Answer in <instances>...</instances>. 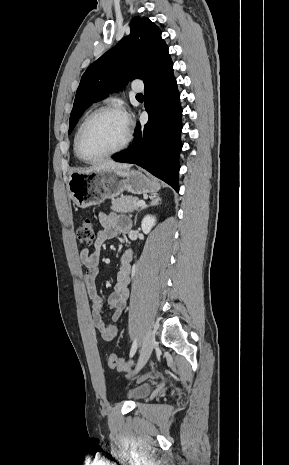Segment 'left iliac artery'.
<instances>
[{
  "instance_id": "1",
  "label": "left iliac artery",
  "mask_w": 289,
  "mask_h": 465,
  "mask_svg": "<svg viewBox=\"0 0 289 465\" xmlns=\"http://www.w3.org/2000/svg\"><path fill=\"white\" fill-rule=\"evenodd\" d=\"M136 350H137V340L135 339L133 344H132L131 350H130V357H133Z\"/></svg>"
}]
</instances>
